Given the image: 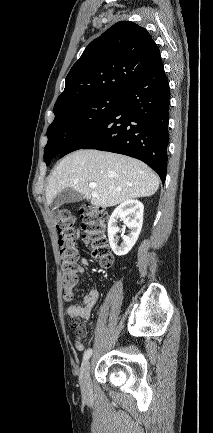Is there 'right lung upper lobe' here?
I'll return each mask as SVG.
<instances>
[{
	"instance_id": "cb5924a9",
	"label": "right lung upper lobe",
	"mask_w": 213,
	"mask_h": 433,
	"mask_svg": "<svg viewBox=\"0 0 213 433\" xmlns=\"http://www.w3.org/2000/svg\"><path fill=\"white\" fill-rule=\"evenodd\" d=\"M160 58L148 31L130 21H120L93 40L73 65L54 111L92 96L122 95Z\"/></svg>"
}]
</instances>
